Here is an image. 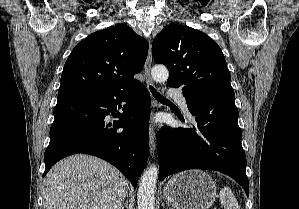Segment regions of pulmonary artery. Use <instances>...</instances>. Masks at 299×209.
Masks as SVG:
<instances>
[{"label": "pulmonary artery", "instance_id": "obj_1", "mask_svg": "<svg viewBox=\"0 0 299 209\" xmlns=\"http://www.w3.org/2000/svg\"><path fill=\"white\" fill-rule=\"evenodd\" d=\"M169 95L178 102L179 106L185 113H188V107H187L185 96L180 90L169 89Z\"/></svg>", "mask_w": 299, "mask_h": 209}]
</instances>
